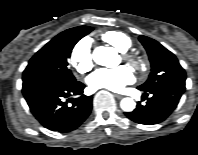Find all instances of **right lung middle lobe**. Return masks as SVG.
I'll list each match as a JSON object with an SVG mask.
<instances>
[{
	"label": "right lung middle lobe",
	"instance_id": "dd1d6c3e",
	"mask_svg": "<svg viewBox=\"0 0 198 155\" xmlns=\"http://www.w3.org/2000/svg\"><path fill=\"white\" fill-rule=\"evenodd\" d=\"M92 30V27L80 26L54 37L31 58L23 72V81L46 79L62 84L76 82L68 67V58L74 45Z\"/></svg>",
	"mask_w": 198,
	"mask_h": 155
}]
</instances>
